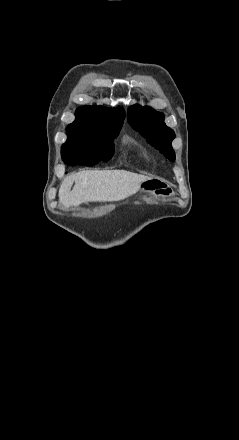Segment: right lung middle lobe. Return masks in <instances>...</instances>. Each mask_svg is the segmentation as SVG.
I'll list each match as a JSON object with an SVG mask.
<instances>
[{
  "label": "right lung middle lobe",
  "mask_w": 239,
  "mask_h": 440,
  "mask_svg": "<svg viewBox=\"0 0 239 440\" xmlns=\"http://www.w3.org/2000/svg\"><path fill=\"white\" fill-rule=\"evenodd\" d=\"M121 125L90 120H77L67 126V141L62 151L76 147H96L114 151V138L120 132Z\"/></svg>",
  "instance_id": "right-lung-middle-lobe-1"
}]
</instances>
